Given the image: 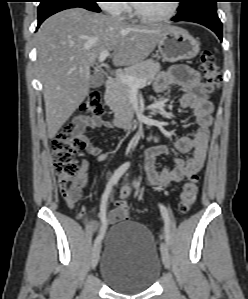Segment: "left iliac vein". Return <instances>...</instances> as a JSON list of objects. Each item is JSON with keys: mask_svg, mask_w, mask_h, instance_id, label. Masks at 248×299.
Segmentation results:
<instances>
[{"mask_svg": "<svg viewBox=\"0 0 248 299\" xmlns=\"http://www.w3.org/2000/svg\"><path fill=\"white\" fill-rule=\"evenodd\" d=\"M160 251H161V257L164 265L169 269L171 260H170V254L167 245L162 242L160 246Z\"/></svg>", "mask_w": 248, "mask_h": 299, "instance_id": "1", "label": "left iliac vein"}]
</instances>
